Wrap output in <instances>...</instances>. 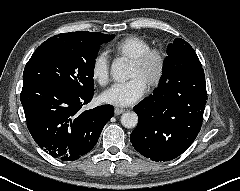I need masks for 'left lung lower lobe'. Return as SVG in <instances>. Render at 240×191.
Segmentation results:
<instances>
[{
	"instance_id": "left-lung-lower-lobe-1",
	"label": "left lung lower lobe",
	"mask_w": 240,
	"mask_h": 191,
	"mask_svg": "<svg viewBox=\"0 0 240 191\" xmlns=\"http://www.w3.org/2000/svg\"><path fill=\"white\" fill-rule=\"evenodd\" d=\"M206 101L204 71L180 73L134 108L139 122L130 135L133 147L157 162L178 157L197 137Z\"/></svg>"
}]
</instances>
